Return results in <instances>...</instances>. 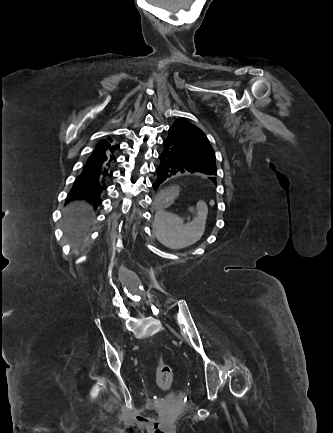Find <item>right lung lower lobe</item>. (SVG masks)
<instances>
[{
    "label": "right lung lower lobe",
    "instance_id": "right-lung-lower-lobe-1",
    "mask_svg": "<svg viewBox=\"0 0 333 433\" xmlns=\"http://www.w3.org/2000/svg\"><path fill=\"white\" fill-rule=\"evenodd\" d=\"M116 144L100 142L88 158L83 171L76 179L70 193V199H85L96 208L102 203L101 193L107 189V182L112 176V168L116 162Z\"/></svg>",
    "mask_w": 333,
    "mask_h": 433
}]
</instances>
